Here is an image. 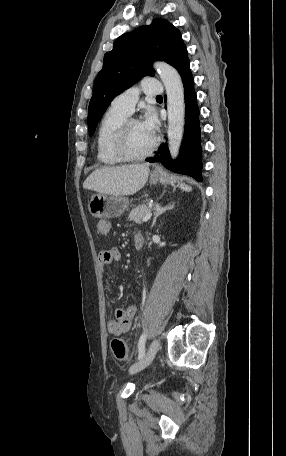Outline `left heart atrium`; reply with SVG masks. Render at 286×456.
Segmentation results:
<instances>
[{
  "label": "left heart atrium",
  "mask_w": 286,
  "mask_h": 456,
  "mask_svg": "<svg viewBox=\"0 0 286 456\" xmlns=\"http://www.w3.org/2000/svg\"><path fill=\"white\" fill-rule=\"evenodd\" d=\"M140 123L147 131V133L154 139L159 126L155 113L152 110L148 109L143 120Z\"/></svg>",
  "instance_id": "1"
}]
</instances>
